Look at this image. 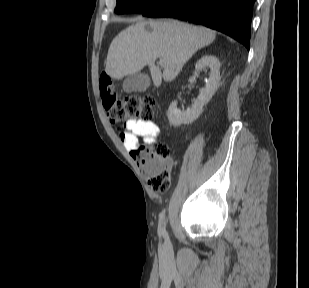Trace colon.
I'll list each match as a JSON object with an SVG mask.
<instances>
[{
  "mask_svg": "<svg viewBox=\"0 0 309 288\" xmlns=\"http://www.w3.org/2000/svg\"><path fill=\"white\" fill-rule=\"evenodd\" d=\"M99 89L103 107L111 121L123 122L132 118L151 119L156 109V100L140 94H129L122 99L116 95L115 86L108 74H102ZM142 174L155 191L163 192L171 185V160L164 143L138 146L134 152Z\"/></svg>",
  "mask_w": 309,
  "mask_h": 288,
  "instance_id": "1",
  "label": "colon"
}]
</instances>
